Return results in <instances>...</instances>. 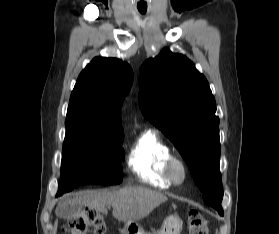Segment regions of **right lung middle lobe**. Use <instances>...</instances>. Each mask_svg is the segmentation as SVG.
<instances>
[{
    "instance_id": "dd1d6c3e",
    "label": "right lung middle lobe",
    "mask_w": 279,
    "mask_h": 234,
    "mask_svg": "<svg viewBox=\"0 0 279 234\" xmlns=\"http://www.w3.org/2000/svg\"><path fill=\"white\" fill-rule=\"evenodd\" d=\"M61 179L56 196L86 184L113 185L123 180L124 135L96 133L81 120H66Z\"/></svg>"
}]
</instances>
